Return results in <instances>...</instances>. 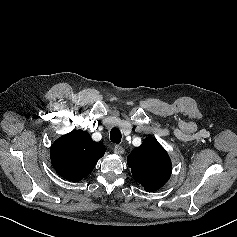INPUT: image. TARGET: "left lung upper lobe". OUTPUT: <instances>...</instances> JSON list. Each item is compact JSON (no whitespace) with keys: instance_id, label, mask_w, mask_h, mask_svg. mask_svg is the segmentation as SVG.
Here are the masks:
<instances>
[{"instance_id":"1","label":"left lung upper lobe","mask_w":237,"mask_h":237,"mask_svg":"<svg viewBox=\"0 0 237 237\" xmlns=\"http://www.w3.org/2000/svg\"><path fill=\"white\" fill-rule=\"evenodd\" d=\"M133 178L148 191H156L169 179L171 161L165 149L153 137H147L127 157Z\"/></svg>"}]
</instances>
